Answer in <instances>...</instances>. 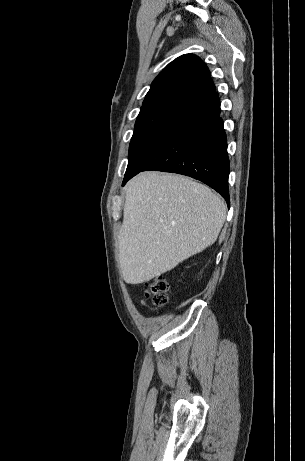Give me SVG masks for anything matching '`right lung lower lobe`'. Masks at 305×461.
<instances>
[{
	"instance_id": "1",
	"label": "right lung lower lobe",
	"mask_w": 305,
	"mask_h": 461,
	"mask_svg": "<svg viewBox=\"0 0 305 461\" xmlns=\"http://www.w3.org/2000/svg\"><path fill=\"white\" fill-rule=\"evenodd\" d=\"M220 111L216 92L188 108L167 135L126 170L123 185L145 170L179 173L204 182L229 203V159Z\"/></svg>"
}]
</instances>
